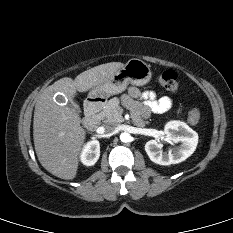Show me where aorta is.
Segmentation results:
<instances>
[{
	"mask_svg": "<svg viewBox=\"0 0 233 233\" xmlns=\"http://www.w3.org/2000/svg\"><path fill=\"white\" fill-rule=\"evenodd\" d=\"M120 140L123 142V143H127V142H130L131 141V135L127 132H123L120 134Z\"/></svg>",
	"mask_w": 233,
	"mask_h": 233,
	"instance_id": "aorta-1",
	"label": "aorta"
}]
</instances>
